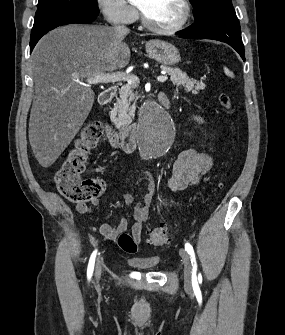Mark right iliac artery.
<instances>
[{"label":"right iliac artery","mask_w":285,"mask_h":335,"mask_svg":"<svg viewBox=\"0 0 285 335\" xmlns=\"http://www.w3.org/2000/svg\"><path fill=\"white\" fill-rule=\"evenodd\" d=\"M96 253H97V250H95V251L92 253V255H91V257H90V260H89L88 269H87V277H88V279L91 278L92 273H93V270H94V264H95Z\"/></svg>","instance_id":"82829eb1"}]
</instances>
